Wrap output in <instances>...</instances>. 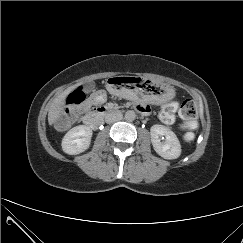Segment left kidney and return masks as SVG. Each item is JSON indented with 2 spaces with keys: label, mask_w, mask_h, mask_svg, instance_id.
<instances>
[{
  "label": "left kidney",
  "mask_w": 243,
  "mask_h": 243,
  "mask_svg": "<svg viewBox=\"0 0 243 243\" xmlns=\"http://www.w3.org/2000/svg\"><path fill=\"white\" fill-rule=\"evenodd\" d=\"M154 150L164 159H177L181 155L180 142L173 131L163 125H153L150 129ZM160 137L165 141L161 142Z\"/></svg>",
  "instance_id": "obj_1"
}]
</instances>
